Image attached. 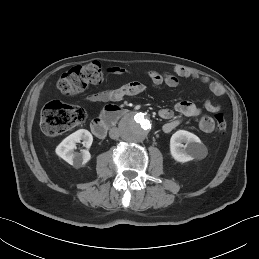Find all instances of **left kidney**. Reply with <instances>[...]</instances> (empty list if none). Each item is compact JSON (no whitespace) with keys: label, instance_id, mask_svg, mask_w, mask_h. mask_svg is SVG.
Wrapping results in <instances>:
<instances>
[{"label":"left kidney","instance_id":"left-kidney-1","mask_svg":"<svg viewBox=\"0 0 259 259\" xmlns=\"http://www.w3.org/2000/svg\"><path fill=\"white\" fill-rule=\"evenodd\" d=\"M202 147L199 137L185 130L175 132L170 139V153L181 163L195 159Z\"/></svg>","mask_w":259,"mask_h":259}]
</instances>
